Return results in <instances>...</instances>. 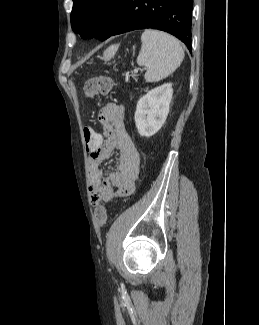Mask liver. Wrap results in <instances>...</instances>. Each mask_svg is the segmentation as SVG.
<instances>
[{"label":"liver","mask_w":259,"mask_h":325,"mask_svg":"<svg viewBox=\"0 0 259 325\" xmlns=\"http://www.w3.org/2000/svg\"><path fill=\"white\" fill-rule=\"evenodd\" d=\"M114 51H115V46H111L108 49H106L103 54V59L107 60L111 58V56L114 54Z\"/></svg>","instance_id":"obj_1"}]
</instances>
